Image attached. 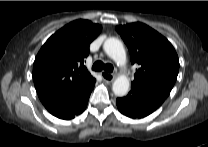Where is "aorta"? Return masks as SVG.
<instances>
[{
	"mask_svg": "<svg viewBox=\"0 0 208 147\" xmlns=\"http://www.w3.org/2000/svg\"><path fill=\"white\" fill-rule=\"evenodd\" d=\"M105 53L116 62L123 66L126 63V52L123 43L116 38H108L103 45ZM130 82L125 75H120L113 83L112 90L117 96H125L129 91Z\"/></svg>",
	"mask_w": 208,
	"mask_h": 147,
	"instance_id": "aorta-1",
	"label": "aorta"
}]
</instances>
